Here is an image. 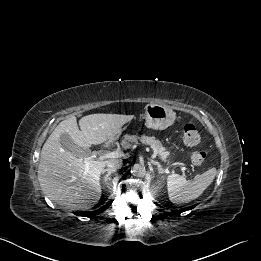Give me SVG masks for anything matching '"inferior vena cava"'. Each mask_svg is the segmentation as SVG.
Returning <instances> with one entry per match:
<instances>
[{
    "label": "inferior vena cava",
    "mask_w": 261,
    "mask_h": 261,
    "mask_svg": "<svg viewBox=\"0 0 261 261\" xmlns=\"http://www.w3.org/2000/svg\"><path fill=\"white\" fill-rule=\"evenodd\" d=\"M122 166V161L119 159H114L108 162L107 169L111 172H115L117 169H120Z\"/></svg>",
    "instance_id": "obj_1"
}]
</instances>
